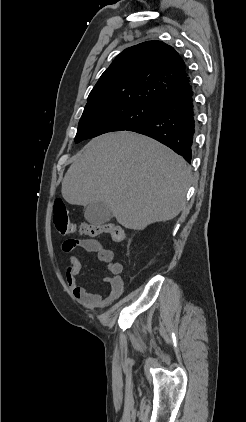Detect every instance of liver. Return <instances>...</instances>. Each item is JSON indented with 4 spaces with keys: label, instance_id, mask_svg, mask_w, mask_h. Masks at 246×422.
<instances>
[{
    "label": "liver",
    "instance_id": "6515ba94",
    "mask_svg": "<svg viewBox=\"0 0 246 422\" xmlns=\"http://www.w3.org/2000/svg\"><path fill=\"white\" fill-rule=\"evenodd\" d=\"M191 179L186 161L165 145L129 131L92 139L67 170L61 192L72 205L103 201L119 224L143 230L175 218Z\"/></svg>",
    "mask_w": 246,
    "mask_h": 422
}]
</instances>
